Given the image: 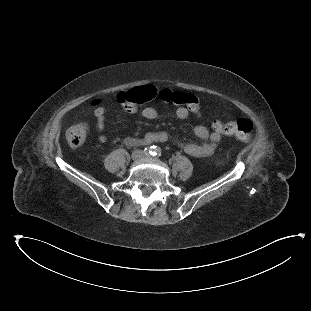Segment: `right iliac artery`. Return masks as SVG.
Segmentation results:
<instances>
[{
  "mask_svg": "<svg viewBox=\"0 0 311 311\" xmlns=\"http://www.w3.org/2000/svg\"><path fill=\"white\" fill-rule=\"evenodd\" d=\"M154 147H155V146L146 147V148H144L143 152H144L146 155H152V154H153V151H154Z\"/></svg>",
  "mask_w": 311,
  "mask_h": 311,
  "instance_id": "1",
  "label": "right iliac artery"
}]
</instances>
